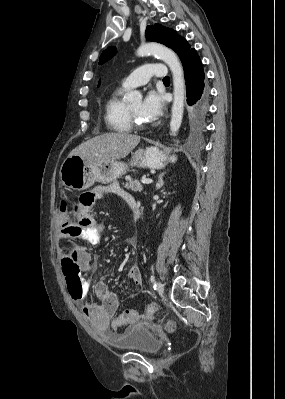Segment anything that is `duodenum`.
<instances>
[{
  "instance_id": "obj_1",
  "label": "duodenum",
  "mask_w": 285,
  "mask_h": 399,
  "mask_svg": "<svg viewBox=\"0 0 285 399\" xmlns=\"http://www.w3.org/2000/svg\"><path fill=\"white\" fill-rule=\"evenodd\" d=\"M134 215H135V217L138 219L139 216H140V211H139V210H135V211H134Z\"/></svg>"
}]
</instances>
